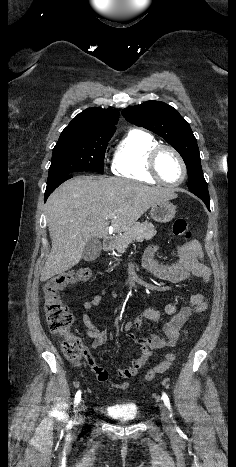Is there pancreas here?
Wrapping results in <instances>:
<instances>
[{
    "instance_id": "cf45deb5",
    "label": "pancreas",
    "mask_w": 236,
    "mask_h": 467,
    "mask_svg": "<svg viewBox=\"0 0 236 467\" xmlns=\"http://www.w3.org/2000/svg\"><path fill=\"white\" fill-rule=\"evenodd\" d=\"M155 235L156 230L153 224L148 222L137 223L123 234H119L114 240V246L118 253H124L132 242L150 240Z\"/></svg>"
}]
</instances>
